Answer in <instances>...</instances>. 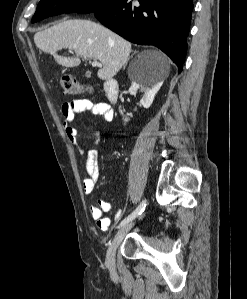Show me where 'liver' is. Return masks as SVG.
<instances>
[{
    "mask_svg": "<svg viewBox=\"0 0 247 299\" xmlns=\"http://www.w3.org/2000/svg\"><path fill=\"white\" fill-rule=\"evenodd\" d=\"M36 46L45 53L54 56L63 67L80 65V57L99 60L103 67L97 76L101 80L113 78L127 63L131 52V43L110 31L106 27L90 20L73 19L63 21L34 35ZM63 48L74 50L75 56L62 57L57 52ZM160 65L162 78L169 74L167 57L159 51H150Z\"/></svg>",
    "mask_w": 247,
    "mask_h": 299,
    "instance_id": "1",
    "label": "liver"
}]
</instances>
